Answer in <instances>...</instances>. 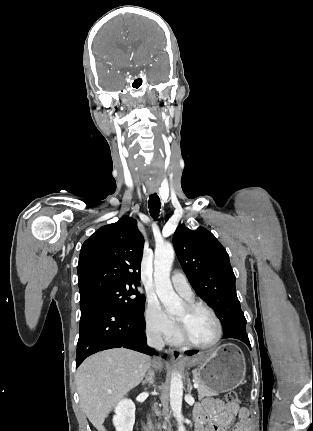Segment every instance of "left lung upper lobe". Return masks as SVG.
Here are the masks:
<instances>
[{
  "label": "left lung upper lobe",
  "instance_id": "1",
  "mask_svg": "<svg viewBox=\"0 0 313 431\" xmlns=\"http://www.w3.org/2000/svg\"><path fill=\"white\" fill-rule=\"evenodd\" d=\"M173 244L190 284L220 319L223 335L246 330L229 255L216 237L204 228L191 230L182 224L174 233Z\"/></svg>",
  "mask_w": 313,
  "mask_h": 431
}]
</instances>
